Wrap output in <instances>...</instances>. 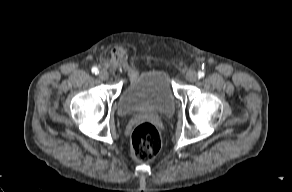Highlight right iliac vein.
<instances>
[{
    "label": "right iliac vein",
    "mask_w": 292,
    "mask_h": 192,
    "mask_svg": "<svg viewBox=\"0 0 292 192\" xmlns=\"http://www.w3.org/2000/svg\"><path fill=\"white\" fill-rule=\"evenodd\" d=\"M98 75L101 80H107L109 78V74L106 70H101Z\"/></svg>",
    "instance_id": "1"
}]
</instances>
